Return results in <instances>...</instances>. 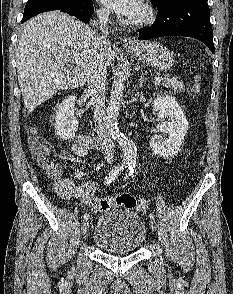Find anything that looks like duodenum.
Masks as SVG:
<instances>
[{
	"label": "duodenum",
	"instance_id": "1",
	"mask_svg": "<svg viewBox=\"0 0 233 294\" xmlns=\"http://www.w3.org/2000/svg\"><path fill=\"white\" fill-rule=\"evenodd\" d=\"M82 138L87 145H93L95 143L94 137L90 134H85Z\"/></svg>",
	"mask_w": 233,
	"mask_h": 294
}]
</instances>
